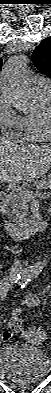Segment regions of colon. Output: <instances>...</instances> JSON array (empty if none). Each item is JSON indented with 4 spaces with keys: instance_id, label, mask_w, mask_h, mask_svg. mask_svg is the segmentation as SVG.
Returning <instances> with one entry per match:
<instances>
[{
    "instance_id": "colon-1",
    "label": "colon",
    "mask_w": 51,
    "mask_h": 393,
    "mask_svg": "<svg viewBox=\"0 0 51 393\" xmlns=\"http://www.w3.org/2000/svg\"><path fill=\"white\" fill-rule=\"evenodd\" d=\"M9 327L13 331H18L22 327V320L18 316H12L8 323Z\"/></svg>"
}]
</instances>
